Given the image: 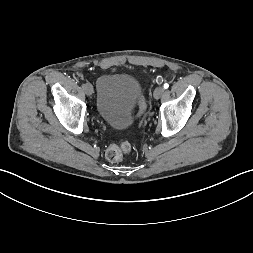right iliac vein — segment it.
I'll use <instances>...</instances> for the list:
<instances>
[{
    "label": "right iliac vein",
    "mask_w": 253,
    "mask_h": 253,
    "mask_svg": "<svg viewBox=\"0 0 253 253\" xmlns=\"http://www.w3.org/2000/svg\"><path fill=\"white\" fill-rule=\"evenodd\" d=\"M84 92L86 95L90 96L93 93V87L90 83H87L86 86L84 87Z\"/></svg>",
    "instance_id": "obj_1"
}]
</instances>
